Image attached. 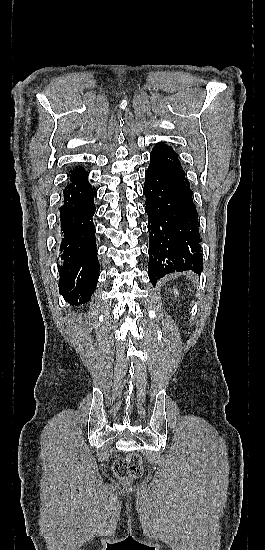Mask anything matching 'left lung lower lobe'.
Wrapping results in <instances>:
<instances>
[{
    "label": "left lung lower lobe",
    "instance_id": "0a47b994",
    "mask_svg": "<svg viewBox=\"0 0 265 550\" xmlns=\"http://www.w3.org/2000/svg\"><path fill=\"white\" fill-rule=\"evenodd\" d=\"M143 193L149 217L151 283L156 285L158 279L175 271H201L199 223L190 184L178 154L164 143L152 149Z\"/></svg>",
    "mask_w": 265,
    "mask_h": 550
}]
</instances>
